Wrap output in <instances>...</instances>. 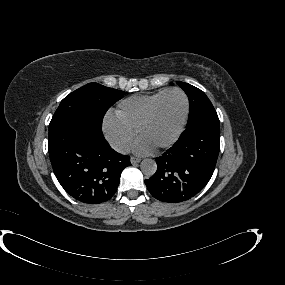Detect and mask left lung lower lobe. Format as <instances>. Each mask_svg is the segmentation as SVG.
<instances>
[{"instance_id":"0a47b994","label":"left lung lower lobe","mask_w":285,"mask_h":285,"mask_svg":"<svg viewBox=\"0 0 285 285\" xmlns=\"http://www.w3.org/2000/svg\"><path fill=\"white\" fill-rule=\"evenodd\" d=\"M220 150V122L216 112L189 124L179 140L156 158L157 171L145 180L151 195L164 202L189 200L210 180Z\"/></svg>"}]
</instances>
